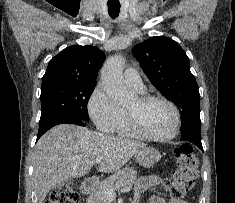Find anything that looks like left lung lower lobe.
Segmentation results:
<instances>
[{
    "label": "left lung lower lobe",
    "mask_w": 235,
    "mask_h": 203,
    "mask_svg": "<svg viewBox=\"0 0 235 203\" xmlns=\"http://www.w3.org/2000/svg\"><path fill=\"white\" fill-rule=\"evenodd\" d=\"M181 141H189L193 144H195L196 146H198L202 151H203V147H202V143H201V135H195V134H182L181 135Z\"/></svg>",
    "instance_id": "obj_1"
}]
</instances>
